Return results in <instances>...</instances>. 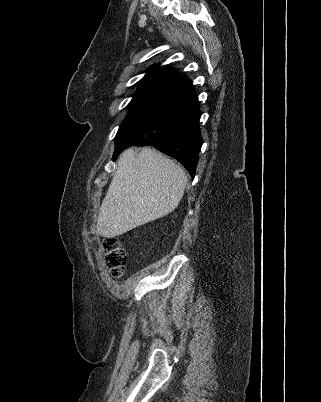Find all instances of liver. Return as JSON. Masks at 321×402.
Masks as SVG:
<instances>
[{"mask_svg":"<svg viewBox=\"0 0 321 402\" xmlns=\"http://www.w3.org/2000/svg\"><path fill=\"white\" fill-rule=\"evenodd\" d=\"M187 182L183 169L154 149H127L99 209L97 234L113 238L166 216L180 203Z\"/></svg>","mask_w":321,"mask_h":402,"instance_id":"1","label":"liver"}]
</instances>
